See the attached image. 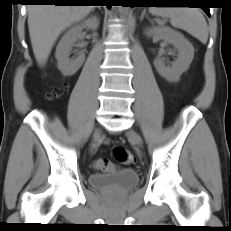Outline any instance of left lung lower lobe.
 I'll list each match as a JSON object with an SVG mask.
<instances>
[{"label":"left lung lower lobe","mask_w":231,"mask_h":231,"mask_svg":"<svg viewBox=\"0 0 231 231\" xmlns=\"http://www.w3.org/2000/svg\"><path fill=\"white\" fill-rule=\"evenodd\" d=\"M132 2L134 6H150V4L159 3L158 0H132ZM202 9L210 16L209 7H202Z\"/></svg>","instance_id":"obj_1"}]
</instances>
